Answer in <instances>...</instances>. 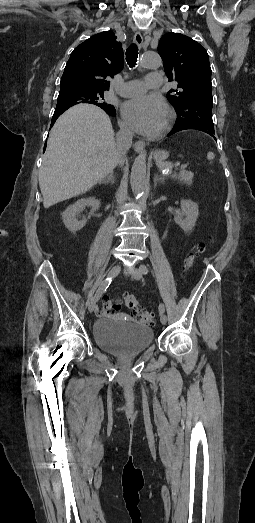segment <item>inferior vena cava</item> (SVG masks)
<instances>
[{"label":"inferior vena cava","mask_w":255,"mask_h":523,"mask_svg":"<svg viewBox=\"0 0 255 523\" xmlns=\"http://www.w3.org/2000/svg\"><path fill=\"white\" fill-rule=\"evenodd\" d=\"M120 130L117 134V144H116V150H118L119 158H118V164H124V156L131 148L134 132H131V130H128L127 126H124V124H120L119 126Z\"/></svg>","instance_id":"obj_1"}]
</instances>
